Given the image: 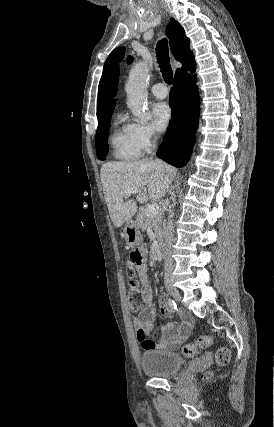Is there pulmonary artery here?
<instances>
[{
    "mask_svg": "<svg viewBox=\"0 0 274 427\" xmlns=\"http://www.w3.org/2000/svg\"><path fill=\"white\" fill-rule=\"evenodd\" d=\"M151 92L154 94V96L161 99L166 98L169 93L168 88L162 83L154 84L151 87Z\"/></svg>",
    "mask_w": 274,
    "mask_h": 427,
    "instance_id": "1",
    "label": "pulmonary artery"
}]
</instances>
